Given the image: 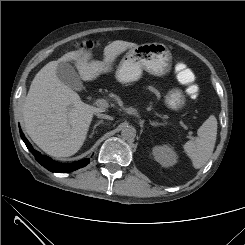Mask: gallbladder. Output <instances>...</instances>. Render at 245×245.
<instances>
[{
	"instance_id": "1",
	"label": "gallbladder",
	"mask_w": 245,
	"mask_h": 245,
	"mask_svg": "<svg viewBox=\"0 0 245 245\" xmlns=\"http://www.w3.org/2000/svg\"><path fill=\"white\" fill-rule=\"evenodd\" d=\"M56 74L59 80L71 89L81 91L84 88L77 71L70 63H59Z\"/></svg>"
}]
</instances>
